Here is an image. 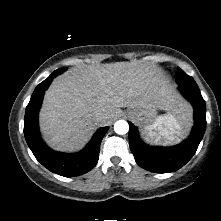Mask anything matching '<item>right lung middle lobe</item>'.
<instances>
[{"instance_id":"obj_1","label":"right lung middle lobe","mask_w":221,"mask_h":221,"mask_svg":"<svg viewBox=\"0 0 221 221\" xmlns=\"http://www.w3.org/2000/svg\"><path fill=\"white\" fill-rule=\"evenodd\" d=\"M65 70H66L65 67H64V68H60V69L54 71L50 76L55 77V76H57L58 74H61V73H62L63 71H65Z\"/></svg>"}]
</instances>
